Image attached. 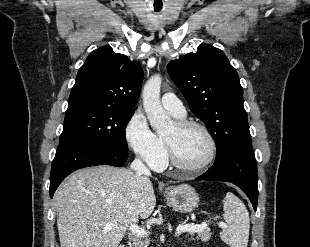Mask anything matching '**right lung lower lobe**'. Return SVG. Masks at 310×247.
Listing matches in <instances>:
<instances>
[{
    "label": "right lung lower lobe",
    "instance_id": "1",
    "mask_svg": "<svg viewBox=\"0 0 310 247\" xmlns=\"http://www.w3.org/2000/svg\"><path fill=\"white\" fill-rule=\"evenodd\" d=\"M127 158V151L114 150L92 143L73 141L60 144L51 168L50 197H53L64 178L75 170L95 165L120 166Z\"/></svg>",
    "mask_w": 310,
    "mask_h": 247
}]
</instances>
